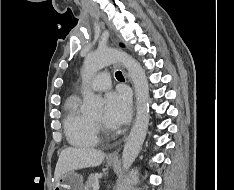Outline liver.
Instances as JSON below:
<instances>
[{
    "instance_id": "6515ba94",
    "label": "liver",
    "mask_w": 234,
    "mask_h": 190,
    "mask_svg": "<svg viewBox=\"0 0 234 190\" xmlns=\"http://www.w3.org/2000/svg\"><path fill=\"white\" fill-rule=\"evenodd\" d=\"M105 158L102 151L86 147H68L61 151L54 178L57 182L67 172L99 166Z\"/></svg>"
}]
</instances>
